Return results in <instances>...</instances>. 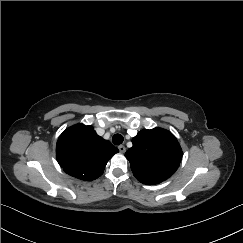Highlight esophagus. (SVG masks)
I'll return each instance as SVG.
<instances>
[{
    "mask_svg": "<svg viewBox=\"0 0 243 243\" xmlns=\"http://www.w3.org/2000/svg\"><path fill=\"white\" fill-rule=\"evenodd\" d=\"M118 149H119V151H120L121 153H125V151H126V148H125L124 145H119V146H118Z\"/></svg>",
    "mask_w": 243,
    "mask_h": 243,
    "instance_id": "34e87169",
    "label": "esophagus"
}]
</instances>
